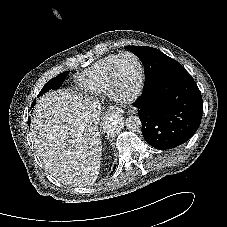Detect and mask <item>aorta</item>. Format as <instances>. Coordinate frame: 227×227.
<instances>
[{
	"mask_svg": "<svg viewBox=\"0 0 227 227\" xmlns=\"http://www.w3.org/2000/svg\"><path fill=\"white\" fill-rule=\"evenodd\" d=\"M104 126L109 133L118 132L122 127L121 116L117 113L109 114L105 119ZM125 126L128 130L136 131L141 128L142 124L138 116L132 115L126 119Z\"/></svg>",
	"mask_w": 227,
	"mask_h": 227,
	"instance_id": "1",
	"label": "aorta"
}]
</instances>
